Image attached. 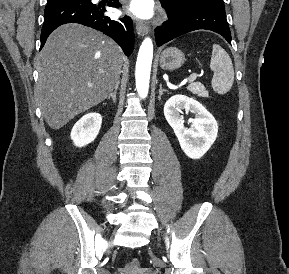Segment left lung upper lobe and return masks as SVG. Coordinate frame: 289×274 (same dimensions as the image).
Here are the masks:
<instances>
[{
    "label": "left lung upper lobe",
    "mask_w": 289,
    "mask_h": 274,
    "mask_svg": "<svg viewBox=\"0 0 289 274\" xmlns=\"http://www.w3.org/2000/svg\"><path fill=\"white\" fill-rule=\"evenodd\" d=\"M170 9L185 12L198 5H214L224 7L223 0H160Z\"/></svg>",
    "instance_id": "1"
}]
</instances>
